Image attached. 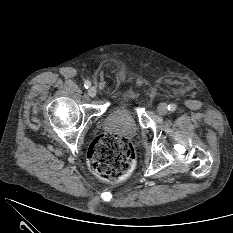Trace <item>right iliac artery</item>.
I'll use <instances>...</instances> for the list:
<instances>
[{
  "label": "right iliac artery",
  "instance_id": "obj_1",
  "mask_svg": "<svg viewBox=\"0 0 233 233\" xmlns=\"http://www.w3.org/2000/svg\"><path fill=\"white\" fill-rule=\"evenodd\" d=\"M90 86H91V82L88 81V80H86V81L84 82V87H85V88H89Z\"/></svg>",
  "mask_w": 233,
  "mask_h": 233
}]
</instances>
